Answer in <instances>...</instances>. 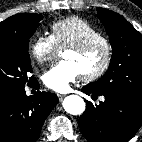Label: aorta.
Masks as SVG:
<instances>
[{
    "label": "aorta",
    "mask_w": 142,
    "mask_h": 142,
    "mask_svg": "<svg viewBox=\"0 0 142 142\" xmlns=\"http://www.w3.org/2000/svg\"><path fill=\"white\" fill-rule=\"evenodd\" d=\"M65 111L72 115H80L85 111V102L78 95H69L63 100Z\"/></svg>",
    "instance_id": "obj_1"
}]
</instances>
